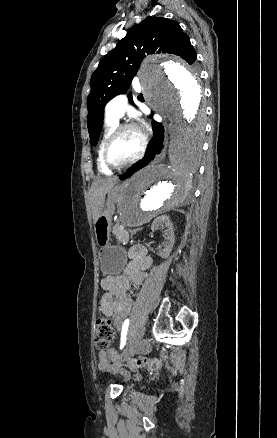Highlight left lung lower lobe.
<instances>
[{
	"label": "left lung lower lobe",
	"instance_id": "1",
	"mask_svg": "<svg viewBox=\"0 0 277 438\" xmlns=\"http://www.w3.org/2000/svg\"><path fill=\"white\" fill-rule=\"evenodd\" d=\"M152 124L154 137L151 141V147L148 150V154L143 159L135 163L132 167H130L124 174H122L120 176L121 180L129 178L136 171L148 165L152 161L154 156L162 149L164 139V127L161 123L155 121H153Z\"/></svg>",
	"mask_w": 277,
	"mask_h": 438
}]
</instances>
